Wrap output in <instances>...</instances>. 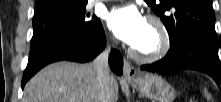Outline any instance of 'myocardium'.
Masks as SVG:
<instances>
[{"instance_id":"f54148a6","label":"myocardium","mask_w":221,"mask_h":102,"mask_svg":"<svg viewBox=\"0 0 221 102\" xmlns=\"http://www.w3.org/2000/svg\"><path fill=\"white\" fill-rule=\"evenodd\" d=\"M147 22L153 25L159 33V47L152 53H142L134 47H131L130 54L136 60L143 63H152L162 59L171 48V36L164 22L153 15L147 17Z\"/></svg>"}]
</instances>
